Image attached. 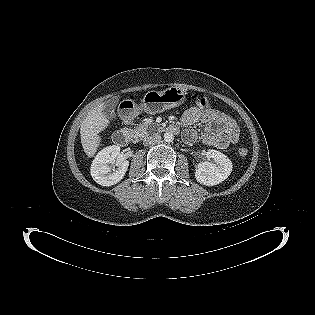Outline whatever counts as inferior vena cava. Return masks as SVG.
Returning <instances> with one entry per match:
<instances>
[{"label": "inferior vena cava", "mask_w": 315, "mask_h": 315, "mask_svg": "<svg viewBox=\"0 0 315 315\" xmlns=\"http://www.w3.org/2000/svg\"><path fill=\"white\" fill-rule=\"evenodd\" d=\"M160 140H161V136L159 134H153L150 136H146L143 139V144L144 145H151V144L159 142Z\"/></svg>", "instance_id": "inferior-vena-cava-1"}]
</instances>
